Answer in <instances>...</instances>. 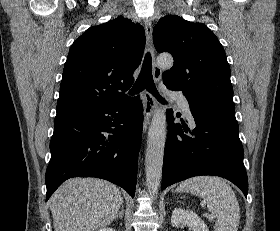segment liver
Instances as JSON below:
<instances>
[{"mask_svg":"<svg viewBox=\"0 0 280 231\" xmlns=\"http://www.w3.org/2000/svg\"><path fill=\"white\" fill-rule=\"evenodd\" d=\"M55 231H95L109 225L123 197L119 187L96 177H72L49 199Z\"/></svg>","mask_w":280,"mask_h":231,"instance_id":"obj_1","label":"liver"}]
</instances>
